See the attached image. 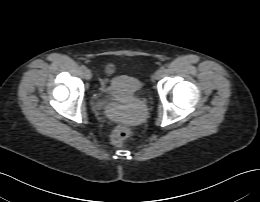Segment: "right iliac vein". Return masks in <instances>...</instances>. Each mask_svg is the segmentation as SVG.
<instances>
[{"label": "right iliac vein", "instance_id": "right-iliac-vein-1", "mask_svg": "<svg viewBox=\"0 0 260 202\" xmlns=\"http://www.w3.org/2000/svg\"><path fill=\"white\" fill-rule=\"evenodd\" d=\"M84 77H85V79H87V80H90V79H91L92 73H91V71H90L89 69H85V70H84Z\"/></svg>", "mask_w": 260, "mask_h": 202}]
</instances>
